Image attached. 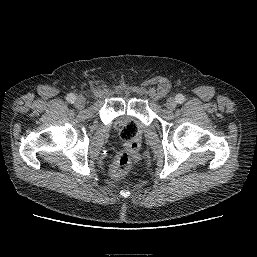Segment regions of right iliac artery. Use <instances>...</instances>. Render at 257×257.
I'll return each mask as SVG.
<instances>
[{"mask_svg":"<svg viewBox=\"0 0 257 257\" xmlns=\"http://www.w3.org/2000/svg\"><path fill=\"white\" fill-rule=\"evenodd\" d=\"M66 99L68 102L74 103L76 96L74 94H68Z\"/></svg>","mask_w":257,"mask_h":257,"instance_id":"obj_1","label":"right iliac artery"}]
</instances>
